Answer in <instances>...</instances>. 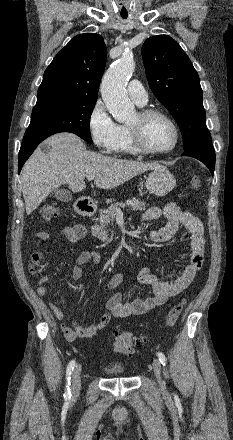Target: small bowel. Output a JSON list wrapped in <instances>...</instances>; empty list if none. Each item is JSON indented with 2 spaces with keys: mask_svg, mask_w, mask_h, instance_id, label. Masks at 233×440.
Wrapping results in <instances>:
<instances>
[{
  "mask_svg": "<svg viewBox=\"0 0 233 440\" xmlns=\"http://www.w3.org/2000/svg\"><path fill=\"white\" fill-rule=\"evenodd\" d=\"M165 217L166 224L160 229L153 230L149 239L154 244H162L170 241L177 233L180 226H184L191 247L189 263L181 273L168 275L169 280L158 278L152 274L148 267H143L137 274V280L141 284L149 285L152 288V295L146 298H138L130 302H124L120 293L113 294L106 303L107 312L103 314L99 322L91 325H82L72 321L71 325H61L65 338L74 341L77 338H88L94 336L98 331L108 326L113 318H127L134 315H143L152 309L163 305L170 297L183 292L192 282L196 273L201 269L205 259L206 240L201 221L192 213L182 209L174 202L168 203L164 209L153 206L142 215L144 221H153ZM71 244L81 240L87 233L82 224L65 226L60 231ZM49 238L47 232H39L36 235L37 242H44ZM74 253V248L71 247ZM101 260L98 252L86 250L78 254L71 271V279L77 281L82 278L85 266L97 264ZM123 273H115L109 277L104 289L109 291L117 288L124 281ZM48 278L43 275L38 280L37 293L39 296H46ZM49 309L59 321L65 319L64 312L53 302L49 303Z\"/></svg>",
  "mask_w": 233,
  "mask_h": 440,
  "instance_id": "1",
  "label": "small bowel"
}]
</instances>
